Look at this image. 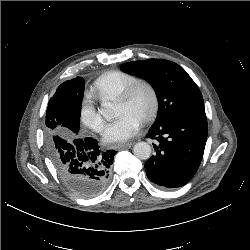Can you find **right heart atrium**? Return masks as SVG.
I'll list each match as a JSON object with an SVG mask.
<instances>
[{
  "label": "right heart atrium",
  "mask_w": 250,
  "mask_h": 250,
  "mask_svg": "<svg viewBox=\"0 0 250 250\" xmlns=\"http://www.w3.org/2000/svg\"><path fill=\"white\" fill-rule=\"evenodd\" d=\"M81 124L94 131L100 132L103 129L104 121L96 109L95 101L91 96H86L80 107L79 112Z\"/></svg>",
  "instance_id": "d8ad5b80"
}]
</instances>
